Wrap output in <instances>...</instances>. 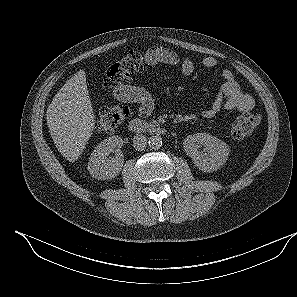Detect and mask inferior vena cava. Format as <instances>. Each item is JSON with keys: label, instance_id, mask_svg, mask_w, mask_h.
I'll list each match as a JSON object with an SVG mask.
<instances>
[{"label": "inferior vena cava", "instance_id": "obj_1", "mask_svg": "<svg viewBox=\"0 0 297 297\" xmlns=\"http://www.w3.org/2000/svg\"><path fill=\"white\" fill-rule=\"evenodd\" d=\"M133 147L138 150L142 151L147 147V138L143 134H137L133 138Z\"/></svg>", "mask_w": 297, "mask_h": 297}]
</instances>
